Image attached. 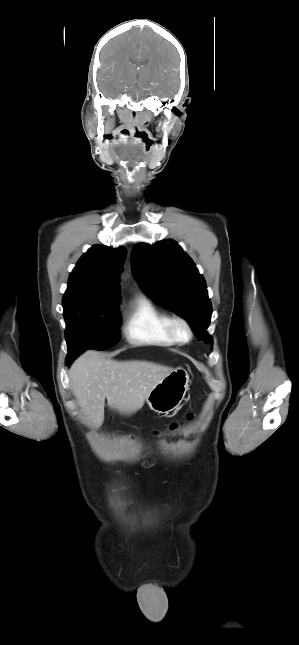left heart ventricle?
I'll return each mask as SVG.
<instances>
[{"instance_id": "1", "label": "left heart ventricle", "mask_w": 299, "mask_h": 645, "mask_svg": "<svg viewBox=\"0 0 299 645\" xmlns=\"http://www.w3.org/2000/svg\"><path fill=\"white\" fill-rule=\"evenodd\" d=\"M179 333L181 336H185V331L182 328H179Z\"/></svg>"}]
</instances>
